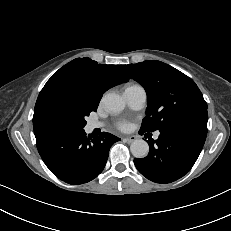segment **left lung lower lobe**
<instances>
[{"mask_svg":"<svg viewBox=\"0 0 231 231\" xmlns=\"http://www.w3.org/2000/svg\"><path fill=\"white\" fill-rule=\"evenodd\" d=\"M144 132L140 129V133ZM206 136L207 125L203 123L186 122L164 128L156 141L148 140V156L135 158L134 164L153 182L166 184L176 181L193 167Z\"/></svg>","mask_w":231,"mask_h":231,"instance_id":"1","label":"left lung lower lobe"}]
</instances>
